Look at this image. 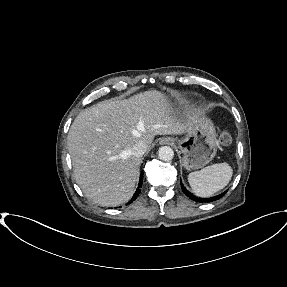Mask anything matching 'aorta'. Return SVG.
Returning a JSON list of instances; mask_svg holds the SVG:
<instances>
[{
	"instance_id": "aorta-1",
	"label": "aorta",
	"mask_w": 287,
	"mask_h": 287,
	"mask_svg": "<svg viewBox=\"0 0 287 287\" xmlns=\"http://www.w3.org/2000/svg\"><path fill=\"white\" fill-rule=\"evenodd\" d=\"M158 157L163 161H170L174 157V151L169 146H162L158 150Z\"/></svg>"
}]
</instances>
